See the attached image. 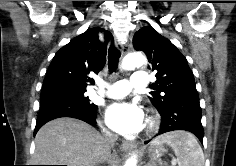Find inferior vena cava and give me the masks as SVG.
Instances as JSON below:
<instances>
[{"mask_svg": "<svg viewBox=\"0 0 236 166\" xmlns=\"http://www.w3.org/2000/svg\"><path fill=\"white\" fill-rule=\"evenodd\" d=\"M104 142H105V148L109 153H111V149L114 147L116 140H117V135L112 134L110 132H104L103 134Z\"/></svg>", "mask_w": 236, "mask_h": 166, "instance_id": "inferior-vena-cava-1", "label": "inferior vena cava"}]
</instances>
